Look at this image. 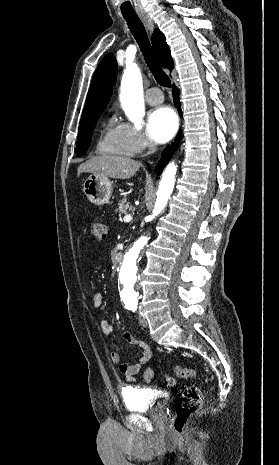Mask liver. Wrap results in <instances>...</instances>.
I'll return each mask as SVG.
<instances>
[{
    "mask_svg": "<svg viewBox=\"0 0 279 465\" xmlns=\"http://www.w3.org/2000/svg\"><path fill=\"white\" fill-rule=\"evenodd\" d=\"M141 163L129 157L115 155L95 156L78 167V175L92 173L102 177L129 179L140 168Z\"/></svg>",
    "mask_w": 279,
    "mask_h": 465,
    "instance_id": "obj_1",
    "label": "liver"
}]
</instances>
